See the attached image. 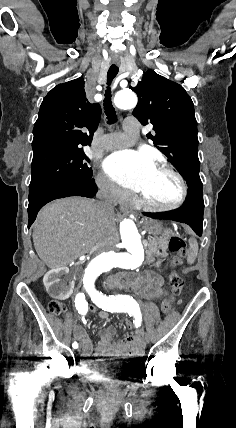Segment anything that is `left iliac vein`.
I'll list each match as a JSON object with an SVG mask.
<instances>
[{
  "instance_id": "4c4485c4",
  "label": "left iliac vein",
  "mask_w": 236,
  "mask_h": 428,
  "mask_svg": "<svg viewBox=\"0 0 236 428\" xmlns=\"http://www.w3.org/2000/svg\"><path fill=\"white\" fill-rule=\"evenodd\" d=\"M144 335H145V340H150L151 337L147 332Z\"/></svg>"
}]
</instances>
